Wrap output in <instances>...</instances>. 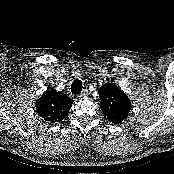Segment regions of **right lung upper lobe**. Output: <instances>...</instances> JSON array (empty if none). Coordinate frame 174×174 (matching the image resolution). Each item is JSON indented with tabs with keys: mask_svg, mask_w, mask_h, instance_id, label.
<instances>
[{
	"mask_svg": "<svg viewBox=\"0 0 174 174\" xmlns=\"http://www.w3.org/2000/svg\"><path fill=\"white\" fill-rule=\"evenodd\" d=\"M73 101L56 90H47L36 101L35 107L39 116L45 121L56 123L62 121L71 109Z\"/></svg>",
	"mask_w": 174,
	"mask_h": 174,
	"instance_id": "1",
	"label": "right lung upper lobe"
}]
</instances>
